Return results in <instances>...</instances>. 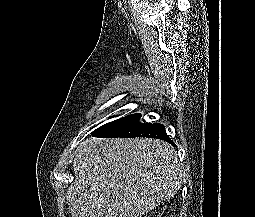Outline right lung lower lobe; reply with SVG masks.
<instances>
[{"label": "right lung lower lobe", "mask_w": 255, "mask_h": 217, "mask_svg": "<svg viewBox=\"0 0 255 217\" xmlns=\"http://www.w3.org/2000/svg\"><path fill=\"white\" fill-rule=\"evenodd\" d=\"M140 115L133 114L121 119L104 124L92 132L95 137L103 138H135L148 137L164 140L175 146L173 141L167 136L165 127L158 123H140Z\"/></svg>", "instance_id": "98d812e1"}]
</instances>
